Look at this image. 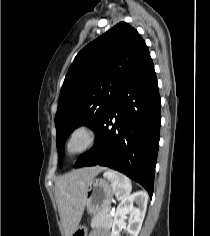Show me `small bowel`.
<instances>
[{
  "label": "small bowel",
  "mask_w": 210,
  "mask_h": 236,
  "mask_svg": "<svg viewBox=\"0 0 210 236\" xmlns=\"http://www.w3.org/2000/svg\"><path fill=\"white\" fill-rule=\"evenodd\" d=\"M90 236H109V235L103 232H93Z\"/></svg>",
  "instance_id": "1"
}]
</instances>
